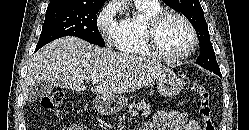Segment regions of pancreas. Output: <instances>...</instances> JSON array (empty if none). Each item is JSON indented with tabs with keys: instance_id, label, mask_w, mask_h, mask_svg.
I'll return each mask as SVG.
<instances>
[{
	"instance_id": "cf45deb5",
	"label": "pancreas",
	"mask_w": 249,
	"mask_h": 130,
	"mask_svg": "<svg viewBox=\"0 0 249 130\" xmlns=\"http://www.w3.org/2000/svg\"><path fill=\"white\" fill-rule=\"evenodd\" d=\"M128 113H130L133 116H138V112H143L142 115L147 117L151 113V106L150 104H147L144 100H141L140 102H132L128 106Z\"/></svg>"
}]
</instances>
